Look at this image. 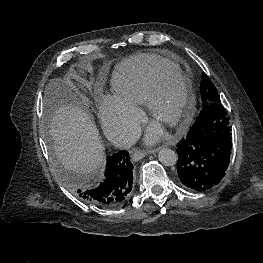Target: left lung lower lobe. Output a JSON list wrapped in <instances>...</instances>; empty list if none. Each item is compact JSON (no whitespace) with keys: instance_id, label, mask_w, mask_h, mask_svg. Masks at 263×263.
<instances>
[{"instance_id":"left-lung-lower-lobe-1","label":"left lung lower lobe","mask_w":263,"mask_h":263,"mask_svg":"<svg viewBox=\"0 0 263 263\" xmlns=\"http://www.w3.org/2000/svg\"><path fill=\"white\" fill-rule=\"evenodd\" d=\"M229 117L220 103L206 105L177 144V173L183 185L205 191L225 176L231 154Z\"/></svg>"}]
</instances>
